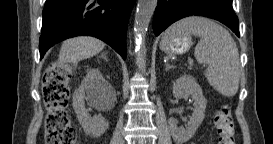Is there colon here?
Here are the masks:
<instances>
[{
  "label": "colon",
  "instance_id": "1",
  "mask_svg": "<svg viewBox=\"0 0 273 144\" xmlns=\"http://www.w3.org/2000/svg\"><path fill=\"white\" fill-rule=\"evenodd\" d=\"M71 70L66 66L52 64L42 74V93L47 109L45 124L46 144H74L77 133L67 111ZM214 124L218 144H235V128L229 104L219 107Z\"/></svg>",
  "mask_w": 273,
  "mask_h": 144
}]
</instances>
